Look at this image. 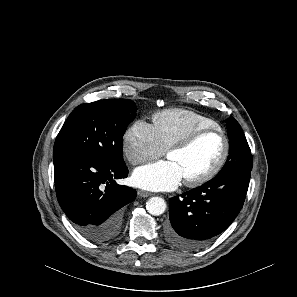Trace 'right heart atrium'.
<instances>
[{"mask_svg":"<svg viewBox=\"0 0 297 297\" xmlns=\"http://www.w3.org/2000/svg\"><path fill=\"white\" fill-rule=\"evenodd\" d=\"M123 152L132 165H139L162 156L165 149L157 139L153 124L137 120L123 135Z\"/></svg>","mask_w":297,"mask_h":297,"instance_id":"d8ad5b80","label":"right heart atrium"}]
</instances>
